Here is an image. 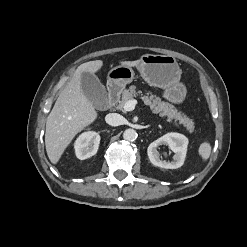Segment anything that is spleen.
<instances>
[{"mask_svg": "<svg viewBox=\"0 0 247 247\" xmlns=\"http://www.w3.org/2000/svg\"><path fill=\"white\" fill-rule=\"evenodd\" d=\"M198 153L200 157L202 158V160L206 161L210 157V154H211L210 144L207 141L202 142L198 149Z\"/></svg>", "mask_w": 247, "mask_h": 247, "instance_id": "1", "label": "spleen"}]
</instances>
